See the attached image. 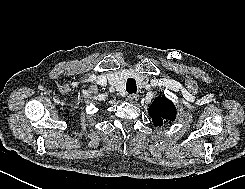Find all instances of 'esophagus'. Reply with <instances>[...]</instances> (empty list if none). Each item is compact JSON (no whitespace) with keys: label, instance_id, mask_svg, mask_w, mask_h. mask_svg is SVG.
I'll list each match as a JSON object with an SVG mask.
<instances>
[{"label":"esophagus","instance_id":"34e87169","mask_svg":"<svg viewBox=\"0 0 245 189\" xmlns=\"http://www.w3.org/2000/svg\"><path fill=\"white\" fill-rule=\"evenodd\" d=\"M138 99H139V95H137V94H129L128 95V100L131 103H135Z\"/></svg>","mask_w":245,"mask_h":189}]
</instances>
